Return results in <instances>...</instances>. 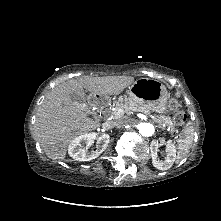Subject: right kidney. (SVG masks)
Returning a JSON list of instances; mask_svg holds the SVG:
<instances>
[{
  "instance_id": "ca27d5eb",
  "label": "right kidney",
  "mask_w": 221,
  "mask_h": 221,
  "mask_svg": "<svg viewBox=\"0 0 221 221\" xmlns=\"http://www.w3.org/2000/svg\"><path fill=\"white\" fill-rule=\"evenodd\" d=\"M109 135L102 134L96 136L94 133L83 134L71 141L68 147L69 155L77 161H90L97 158L108 146ZM96 143V150L88 151L94 141Z\"/></svg>"
}]
</instances>
